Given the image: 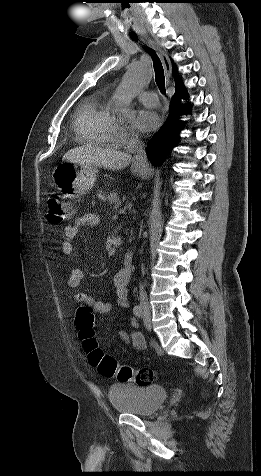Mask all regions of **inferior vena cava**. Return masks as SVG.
I'll list each match as a JSON object with an SVG mask.
<instances>
[{
    "label": "inferior vena cava",
    "instance_id": "1",
    "mask_svg": "<svg viewBox=\"0 0 261 476\" xmlns=\"http://www.w3.org/2000/svg\"><path fill=\"white\" fill-rule=\"evenodd\" d=\"M127 150L129 152L136 153V156H135L136 160L140 162H146V154L144 150V145L139 141L137 135H133L130 138L127 144ZM140 305L144 311L146 312L149 311V303H148L147 295L142 285H140Z\"/></svg>",
    "mask_w": 261,
    "mask_h": 476
}]
</instances>
